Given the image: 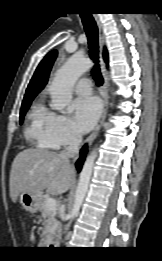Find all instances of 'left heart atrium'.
Wrapping results in <instances>:
<instances>
[{"mask_svg":"<svg viewBox=\"0 0 162 261\" xmlns=\"http://www.w3.org/2000/svg\"><path fill=\"white\" fill-rule=\"evenodd\" d=\"M72 109L76 128L81 132H87L99 116L100 105L95 97H80L73 102Z\"/></svg>","mask_w":162,"mask_h":261,"instance_id":"1","label":"left heart atrium"}]
</instances>
